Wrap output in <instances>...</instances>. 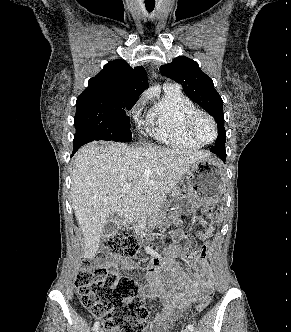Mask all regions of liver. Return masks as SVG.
Returning a JSON list of instances; mask_svg holds the SVG:
<instances>
[{
  "instance_id": "liver-1",
  "label": "liver",
  "mask_w": 291,
  "mask_h": 332,
  "mask_svg": "<svg viewBox=\"0 0 291 332\" xmlns=\"http://www.w3.org/2000/svg\"><path fill=\"white\" fill-rule=\"evenodd\" d=\"M210 153L203 150L130 147L94 142L81 147L71 173L72 207L83 233L84 258L95 257L110 215L125 222L145 217L146 202L165 196L192 165ZM130 183L129 190L123 185Z\"/></svg>"
}]
</instances>
